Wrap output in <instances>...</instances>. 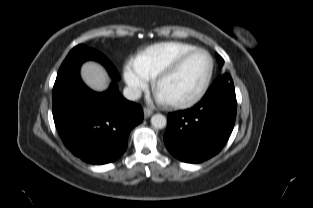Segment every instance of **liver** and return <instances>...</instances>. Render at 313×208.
<instances>
[{
	"mask_svg": "<svg viewBox=\"0 0 313 208\" xmlns=\"http://www.w3.org/2000/svg\"><path fill=\"white\" fill-rule=\"evenodd\" d=\"M81 77L93 90L103 91L108 87L109 80L105 70L93 61H88L82 65Z\"/></svg>",
	"mask_w": 313,
	"mask_h": 208,
	"instance_id": "1",
	"label": "liver"
}]
</instances>
